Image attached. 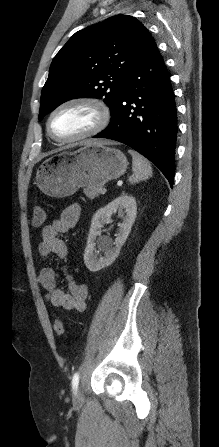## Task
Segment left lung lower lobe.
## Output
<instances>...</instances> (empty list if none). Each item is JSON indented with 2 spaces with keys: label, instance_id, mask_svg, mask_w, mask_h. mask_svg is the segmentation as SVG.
<instances>
[{
  "label": "left lung lower lobe",
  "instance_id": "1",
  "mask_svg": "<svg viewBox=\"0 0 219 447\" xmlns=\"http://www.w3.org/2000/svg\"><path fill=\"white\" fill-rule=\"evenodd\" d=\"M109 126L94 136L122 142L155 164L173 186L177 136L174 94L153 37L131 68Z\"/></svg>",
  "mask_w": 219,
  "mask_h": 447
}]
</instances>
